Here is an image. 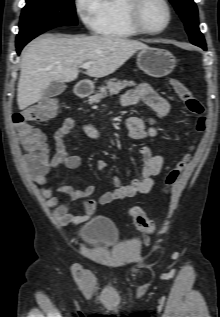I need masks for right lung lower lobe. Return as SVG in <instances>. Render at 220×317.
Returning a JSON list of instances; mask_svg holds the SVG:
<instances>
[{
	"label": "right lung lower lobe",
	"mask_w": 220,
	"mask_h": 317,
	"mask_svg": "<svg viewBox=\"0 0 220 317\" xmlns=\"http://www.w3.org/2000/svg\"><path fill=\"white\" fill-rule=\"evenodd\" d=\"M51 29V28H50ZM49 29H44L41 31H38L36 33H34L33 35L29 36L28 38H25L21 41H16V47H17V53L19 54L20 51L22 50V48L29 42L31 41L33 38H35L36 36L40 35L41 33L47 31Z\"/></svg>",
	"instance_id": "1"
}]
</instances>
